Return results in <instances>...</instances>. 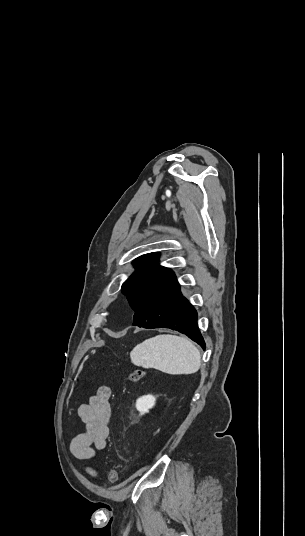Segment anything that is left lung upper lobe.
Wrapping results in <instances>:
<instances>
[{
    "label": "left lung upper lobe",
    "mask_w": 305,
    "mask_h": 536,
    "mask_svg": "<svg viewBox=\"0 0 305 536\" xmlns=\"http://www.w3.org/2000/svg\"><path fill=\"white\" fill-rule=\"evenodd\" d=\"M157 262V253L138 257L133 262L136 271L122 285V291L134 311L176 279L171 269L162 267Z\"/></svg>",
    "instance_id": "left-lung-upper-lobe-1"
}]
</instances>
